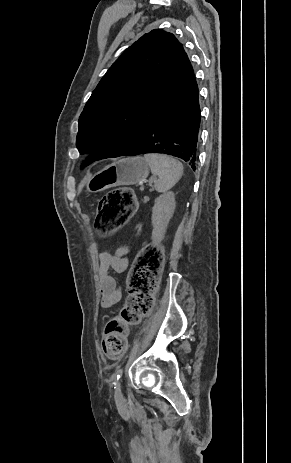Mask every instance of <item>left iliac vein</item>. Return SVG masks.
Here are the masks:
<instances>
[{
  "mask_svg": "<svg viewBox=\"0 0 291 463\" xmlns=\"http://www.w3.org/2000/svg\"><path fill=\"white\" fill-rule=\"evenodd\" d=\"M114 397H115L116 404L118 406H121L123 404V395H122V391H121V383H120V381H118L116 383Z\"/></svg>",
  "mask_w": 291,
  "mask_h": 463,
  "instance_id": "1",
  "label": "left iliac vein"
}]
</instances>
